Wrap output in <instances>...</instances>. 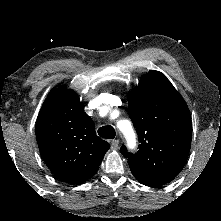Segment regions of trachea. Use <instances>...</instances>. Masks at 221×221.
I'll use <instances>...</instances> for the list:
<instances>
[{
  "instance_id": "obj_1",
  "label": "trachea",
  "mask_w": 221,
  "mask_h": 221,
  "mask_svg": "<svg viewBox=\"0 0 221 221\" xmlns=\"http://www.w3.org/2000/svg\"><path fill=\"white\" fill-rule=\"evenodd\" d=\"M99 136L106 139H114L115 138V130L110 125L102 126L98 129Z\"/></svg>"
}]
</instances>
